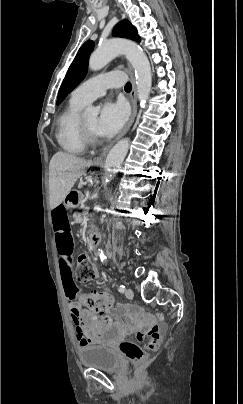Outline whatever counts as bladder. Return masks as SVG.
Wrapping results in <instances>:
<instances>
[{
  "mask_svg": "<svg viewBox=\"0 0 243 404\" xmlns=\"http://www.w3.org/2000/svg\"><path fill=\"white\" fill-rule=\"evenodd\" d=\"M78 356L85 368L105 372H117L120 367L118 355L110 348L102 345H82L78 347Z\"/></svg>",
  "mask_w": 243,
  "mask_h": 404,
  "instance_id": "obj_1",
  "label": "bladder"
}]
</instances>
